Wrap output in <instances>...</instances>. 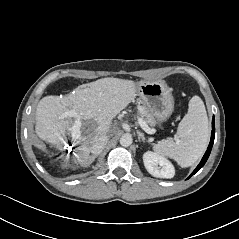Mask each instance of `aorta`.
Returning a JSON list of instances; mask_svg holds the SVG:
<instances>
[{
    "label": "aorta",
    "instance_id": "aorta-1",
    "mask_svg": "<svg viewBox=\"0 0 239 239\" xmlns=\"http://www.w3.org/2000/svg\"><path fill=\"white\" fill-rule=\"evenodd\" d=\"M133 139L131 137V135L129 134H124L121 138H120V145L123 147H128L132 144Z\"/></svg>",
    "mask_w": 239,
    "mask_h": 239
}]
</instances>
